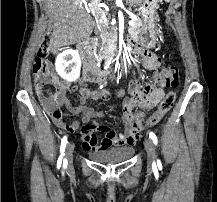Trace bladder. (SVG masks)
Wrapping results in <instances>:
<instances>
[{
  "label": "bladder",
  "mask_w": 217,
  "mask_h": 202,
  "mask_svg": "<svg viewBox=\"0 0 217 202\" xmlns=\"http://www.w3.org/2000/svg\"><path fill=\"white\" fill-rule=\"evenodd\" d=\"M134 148L125 149H104L98 152L90 153V157L97 161H103L105 163H115L130 158L133 154Z\"/></svg>",
  "instance_id": "31cf9c89"
}]
</instances>
